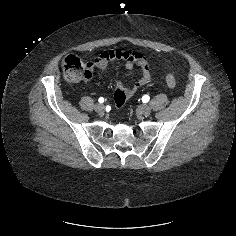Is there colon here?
<instances>
[{"label": "colon", "mask_w": 236, "mask_h": 236, "mask_svg": "<svg viewBox=\"0 0 236 236\" xmlns=\"http://www.w3.org/2000/svg\"><path fill=\"white\" fill-rule=\"evenodd\" d=\"M62 73L67 81L73 83L89 79L92 76V72L87 63H84L79 57L73 54L68 55L63 59ZM166 83L169 88H175V77L172 74H168L166 76ZM115 100L116 103L122 107L126 101V98L121 91H118L115 94Z\"/></svg>", "instance_id": "obj_1"}]
</instances>
